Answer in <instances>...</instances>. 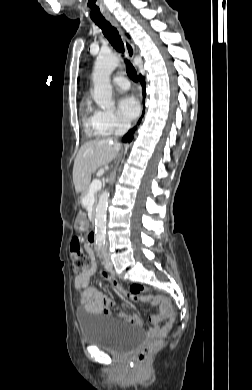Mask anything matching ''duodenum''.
I'll return each instance as SVG.
<instances>
[{"label": "duodenum", "instance_id": "410a0bca", "mask_svg": "<svg viewBox=\"0 0 252 390\" xmlns=\"http://www.w3.org/2000/svg\"><path fill=\"white\" fill-rule=\"evenodd\" d=\"M89 240H90V242H91L92 244L95 243V241H96V233H95L94 230H91V231H90Z\"/></svg>", "mask_w": 252, "mask_h": 390}]
</instances>
